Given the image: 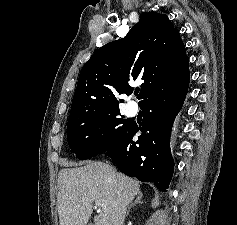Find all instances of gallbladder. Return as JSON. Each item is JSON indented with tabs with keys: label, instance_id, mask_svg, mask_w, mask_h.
Wrapping results in <instances>:
<instances>
[{
	"label": "gallbladder",
	"instance_id": "1",
	"mask_svg": "<svg viewBox=\"0 0 237 225\" xmlns=\"http://www.w3.org/2000/svg\"><path fill=\"white\" fill-rule=\"evenodd\" d=\"M87 225H93L92 223H89V224H87Z\"/></svg>",
	"mask_w": 237,
	"mask_h": 225
}]
</instances>
